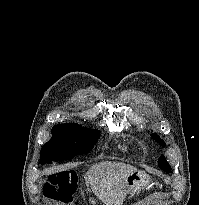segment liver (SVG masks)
I'll return each instance as SVG.
<instances>
[{
	"instance_id": "obj_1",
	"label": "liver",
	"mask_w": 199,
	"mask_h": 205,
	"mask_svg": "<svg viewBox=\"0 0 199 205\" xmlns=\"http://www.w3.org/2000/svg\"><path fill=\"white\" fill-rule=\"evenodd\" d=\"M137 169L120 162H101L88 169L84 177L86 185L105 205H121L126 195L125 180ZM92 204H96L91 199Z\"/></svg>"
}]
</instances>
